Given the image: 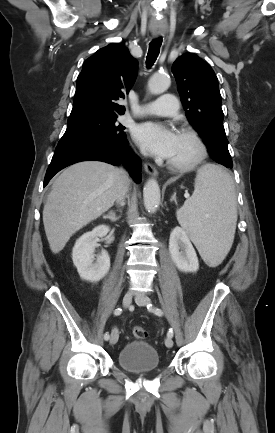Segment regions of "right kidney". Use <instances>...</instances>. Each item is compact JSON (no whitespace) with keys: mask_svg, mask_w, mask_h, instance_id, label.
I'll use <instances>...</instances> for the list:
<instances>
[{"mask_svg":"<svg viewBox=\"0 0 275 433\" xmlns=\"http://www.w3.org/2000/svg\"><path fill=\"white\" fill-rule=\"evenodd\" d=\"M110 228L100 225L92 231L83 234L75 243L72 250V260L80 277L90 282L100 281L110 269V257L104 250L94 263V251L98 238L106 237V242L111 243L114 236Z\"/></svg>","mask_w":275,"mask_h":433,"instance_id":"ca27d5eb","label":"right kidney"}]
</instances>
